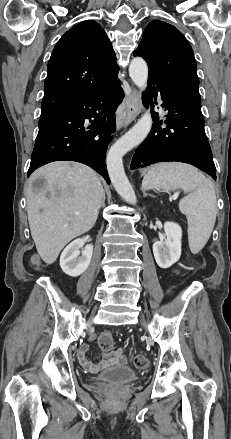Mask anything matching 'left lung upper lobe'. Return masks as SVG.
I'll use <instances>...</instances> for the list:
<instances>
[{"label":"left lung upper lobe","instance_id":"left-lung-upper-lobe-1","mask_svg":"<svg viewBox=\"0 0 231 439\" xmlns=\"http://www.w3.org/2000/svg\"><path fill=\"white\" fill-rule=\"evenodd\" d=\"M134 55L146 60L149 75L201 110L197 63L190 44L177 28L159 20L150 22Z\"/></svg>","mask_w":231,"mask_h":439}]
</instances>
